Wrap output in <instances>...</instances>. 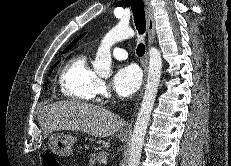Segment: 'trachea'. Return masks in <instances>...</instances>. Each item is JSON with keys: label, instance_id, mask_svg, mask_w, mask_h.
<instances>
[{"label": "trachea", "instance_id": "trachea-1", "mask_svg": "<svg viewBox=\"0 0 231 166\" xmlns=\"http://www.w3.org/2000/svg\"><path fill=\"white\" fill-rule=\"evenodd\" d=\"M133 16L134 23L139 35H143L146 31V19L143 0H129ZM136 54L142 57L145 54V46L143 43H139L136 49Z\"/></svg>", "mask_w": 231, "mask_h": 166}]
</instances>
